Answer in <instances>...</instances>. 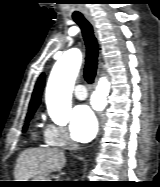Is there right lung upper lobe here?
I'll return each instance as SVG.
<instances>
[{
	"label": "right lung upper lobe",
	"instance_id": "cb5924a9",
	"mask_svg": "<svg viewBox=\"0 0 160 187\" xmlns=\"http://www.w3.org/2000/svg\"><path fill=\"white\" fill-rule=\"evenodd\" d=\"M44 74H41L33 91L32 99L30 101L29 111L36 110L41 101V92L44 86Z\"/></svg>",
	"mask_w": 160,
	"mask_h": 187
}]
</instances>
